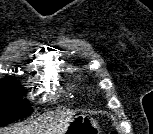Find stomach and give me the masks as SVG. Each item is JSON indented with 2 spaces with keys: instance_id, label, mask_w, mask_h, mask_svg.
<instances>
[{
  "instance_id": "obj_1",
  "label": "stomach",
  "mask_w": 153,
  "mask_h": 134,
  "mask_svg": "<svg viewBox=\"0 0 153 134\" xmlns=\"http://www.w3.org/2000/svg\"><path fill=\"white\" fill-rule=\"evenodd\" d=\"M63 134H100L96 121L88 115H76Z\"/></svg>"
}]
</instances>
